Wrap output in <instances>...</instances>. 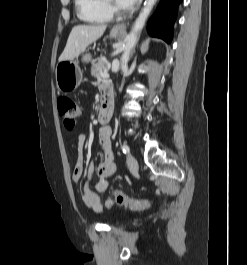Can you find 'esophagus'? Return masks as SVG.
I'll list each match as a JSON object with an SVG mask.
<instances>
[{"instance_id":"34e87169","label":"esophagus","mask_w":247,"mask_h":265,"mask_svg":"<svg viewBox=\"0 0 247 265\" xmlns=\"http://www.w3.org/2000/svg\"><path fill=\"white\" fill-rule=\"evenodd\" d=\"M113 31H116V32H125L126 31V24L125 23H119V24H116L113 29Z\"/></svg>"}]
</instances>
